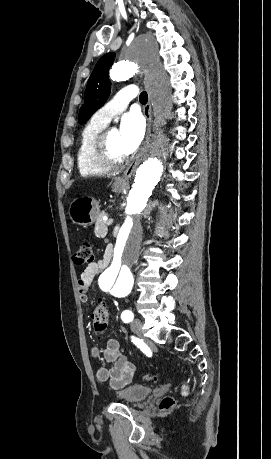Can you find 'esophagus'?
<instances>
[{
    "mask_svg": "<svg viewBox=\"0 0 271 459\" xmlns=\"http://www.w3.org/2000/svg\"><path fill=\"white\" fill-rule=\"evenodd\" d=\"M142 70L144 71L143 83H144L145 88H146L147 93H148V102L143 107V114H144V116L146 118V121H147V132H146V135H145V138H144V141H143V144H142L141 148L138 150V152L136 153L134 159L128 165V167L126 168V170L123 173V175L121 177H118V178L115 179L114 185H126L127 184L128 180L130 179L132 174L135 172V170L138 167L139 163L143 160L144 148L148 144L149 138H150L151 116H152V107H151L152 97H151V90H150V86H149L147 73L143 68H142Z\"/></svg>",
    "mask_w": 271,
    "mask_h": 459,
    "instance_id": "obj_1",
    "label": "esophagus"
}]
</instances>
